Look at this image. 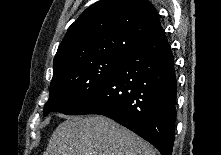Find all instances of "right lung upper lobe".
Listing matches in <instances>:
<instances>
[{
	"mask_svg": "<svg viewBox=\"0 0 221 155\" xmlns=\"http://www.w3.org/2000/svg\"><path fill=\"white\" fill-rule=\"evenodd\" d=\"M163 32L148 0H100L69 27L54 58L53 74L69 63L103 54H127Z\"/></svg>",
	"mask_w": 221,
	"mask_h": 155,
	"instance_id": "cb5924a9",
	"label": "right lung upper lobe"
}]
</instances>
